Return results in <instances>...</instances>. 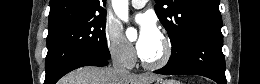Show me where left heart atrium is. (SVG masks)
I'll use <instances>...</instances> for the list:
<instances>
[{
  "label": "left heart atrium",
  "instance_id": "39dd6f15",
  "mask_svg": "<svg viewBox=\"0 0 260 84\" xmlns=\"http://www.w3.org/2000/svg\"><path fill=\"white\" fill-rule=\"evenodd\" d=\"M139 36L136 48L140 56H145L156 45L160 37V32L154 20L146 14L137 16Z\"/></svg>",
  "mask_w": 260,
  "mask_h": 84
}]
</instances>
